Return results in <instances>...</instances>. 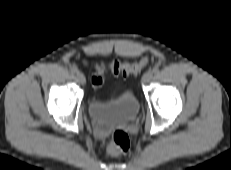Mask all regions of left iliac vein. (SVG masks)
I'll use <instances>...</instances> for the list:
<instances>
[{
    "mask_svg": "<svg viewBox=\"0 0 231 170\" xmlns=\"http://www.w3.org/2000/svg\"><path fill=\"white\" fill-rule=\"evenodd\" d=\"M153 77L152 71H147L142 77V84H147Z\"/></svg>",
    "mask_w": 231,
    "mask_h": 170,
    "instance_id": "4c4485c4",
    "label": "left iliac vein"
}]
</instances>
